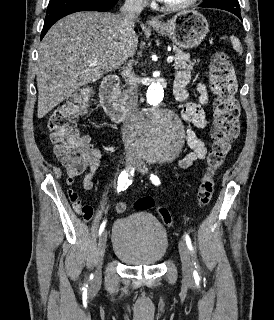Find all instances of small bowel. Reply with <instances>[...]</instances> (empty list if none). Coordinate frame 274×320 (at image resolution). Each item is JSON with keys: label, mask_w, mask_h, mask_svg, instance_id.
<instances>
[{"label": "small bowel", "mask_w": 274, "mask_h": 320, "mask_svg": "<svg viewBox=\"0 0 274 320\" xmlns=\"http://www.w3.org/2000/svg\"><path fill=\"white\" fill-rule=\"evenodd\" d=\"M192 79V74L189 71L180 70L175 76L173 87L176 99L183 103L182 117L187 124L186 144L190 148V152L179 162V168L182 171L189 170L197 161L205 159L208 154L205 143L193 129V127L205 129L208 125V116L205 111V106L208 103V94L204 84L196 82L195 89L198 94V99L197 101H189L186 87ZM85 161L89 162V167L82 168L79 174L86 169L82 187L84 190H91L94 185V178L102 164L101 150L95 147H89L85 156ZM70 201L77 214L85 221L91 220L94 212L91 205L84 203L79 196L70 199Z\"/></svg>", "instance_id": "c3829d8e"}]
</instances>
